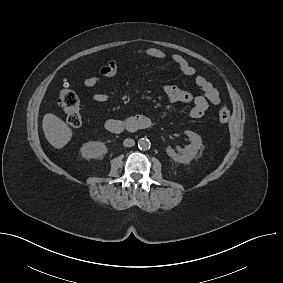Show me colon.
<instances>
[{
  "instance_id": "colon-1",
  "label": "colon",
  "mask_w": 283,
  "mask_h": 283,
  "mask_svg": "<svg viewBox=\"0 0 283 283\" xmlns=\"http://www.w3.org/2000/svg\"><path fill=\"white\" fill-rule=\"evenodd\" d=\"M58 103L66 115V123L71 128H78L82 123L81 105L77 94L70 88L68 82H64L59 94ZM231 114L227 107L220 108L218 112L219 121L227 124Z\"/></svg>"
}]
</instances>
